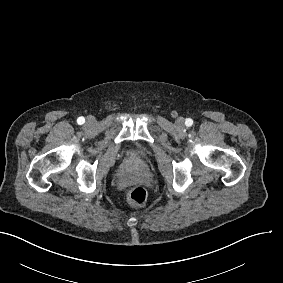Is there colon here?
Returning a JSON list of instances; mask_svg holds the SVG:
<instances>
[{"instance_id":"5ec220e1","label":"colon","mask_w":283,"mask_h":283,"mask_svg":"<svg viewBox=\"0 0 283 283\" xmlns=\"http://www.w3.org/2000/svg\"><path fill=\"white\" fill-rule=\"evenodd\" d=\"M127 198L130 204L141 206L146 202L148 194L144 187L137 186L129 191Z\"/></svg>"}]
</instances>
